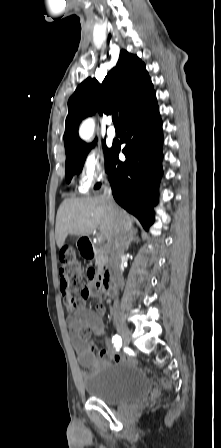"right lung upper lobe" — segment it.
Segmentation results:
<instances>
[{
  "instance_id": "cb5924a9",
  "label": "right lung upper lobe",
  "mask_w": 221,
  "mask_h": 448,
  "mask_svg": "<svg viewBox=\"0 0 221 448\" xmlns=\"http://www.w3.org/2000/svg\"><path fill=\"white\" fill-rule=\"evenodd\" d=\"M154 93L151 79L144 63L136 56L121 50L116 66L100 85L96 79L87 78L68 100V116L64 133L66 158L80 153L89 144L78 136L79 123L97 110L109 113L119 110L120 120Z\"/></svg>"
}]
</instances>
